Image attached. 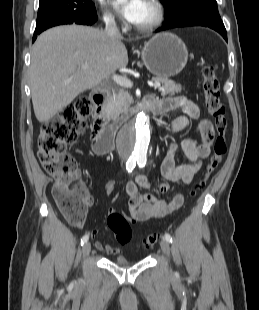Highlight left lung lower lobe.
<instances>
[{"mask_svg": "<svg viewBox=\"0 0 259 310\" xmlns=\"http://www.w3.org/2000/svg\"><path fill=\"white\" fill-rule=\"evenodd\" d=\"M185 26H205L217 31L225 40H227V32L225 26L221 20H210L205 18H192L188 20H184L182 22H178L172 25H164L163 27L159 28L157 31L165 30L169 28L175 27H185Z\"/></svg>", "mask_w": 259, "mask_h": 310, "instance_id": "left-lung-lower-lobe-1", "label": "left lung lower lobe"}]
</instances>
